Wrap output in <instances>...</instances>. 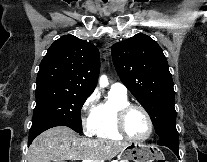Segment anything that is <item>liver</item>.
Instances as JSON below:
<instances>
[{
	"instance_id": "6515ba94",
	"label": "liver",
	"mask_w": 207,
	"mask_h": 162,
	"mask_svg": "<svg viewBox=\"0 0 207 162\" xmlns=\"http://www.w3.org/2000/svg\"><path fill=\"white\" fill-rule=\"evenodd\" d=\"M127 143L79 137L70 128L57 126L40 134L30 145L28 162H64L67 160H111Z\"/></svg>"
}]
</instances>
